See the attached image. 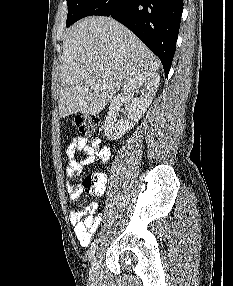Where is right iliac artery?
Masks as SVG:
<instances>
[{
  "label": "right iliac artery",
  "mask_w": 233,
  "mask_h": 286,
  "mask_svg": "<svg viewBox=\"0 0 233 286\" xmlns=\"http://www.w3.org/2000/svg\"><path fill=\"white\" fill-rule=\"evenodd\" d=\"M97 243H98V239H96V240L91 244V247H90V250H89V261H92L93 258H94V254H95V251H96V248H97Z\"/></svg>",
  "instance_id": "right-iliac-artery-1"
}]
</instances>
